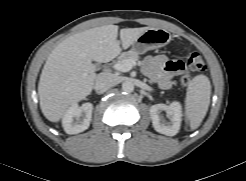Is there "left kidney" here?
Segmentation results:
<instances>
[{"label":"left kidney","instance_id":"obj_1","mask_svg":"<svg viewBox=\"0 0 246 181\" xmlns=\"http://www.w3.org/2000/svg\"><path fill=\"white\" fill-rule=\"evenodd\" d=\"M166 112L168 120L162 112ZM150 118L154 129L164 135L174 136L179 132L182 121V107L177 101L170 105L155 104L150 107Z\"/></svg>","mask_w":246,"mask_h":181}]
</instances>
